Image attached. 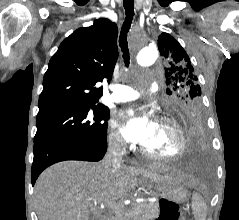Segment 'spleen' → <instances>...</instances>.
Returning a JSON list of instances; mask_svg holds the SVG:
<instances>
[{"instance_id":"1","label":"spleen","mask_w":239,"mask_h":220,"mask_svg":"<svg viewBox=\"0 0 239 220\" xmlns=\"http://www.w3.org/2000/svg\"><path fill=\"white\" fill-rule=\"evenodd\" d=\"M192 209L196 220H205L207 206L199 193H193Z\"/></svg>"}]
</instances>
